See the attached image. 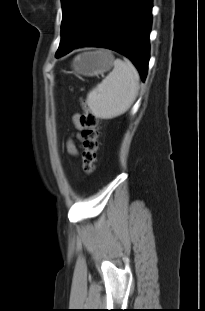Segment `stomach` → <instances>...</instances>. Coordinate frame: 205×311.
Here are the masks:
<instances>
[{
    "instance_id": "1",
    "label": "stomach",
    "mask_w": 205,
    "mask_h": 311,
    "mask_svg": "<svg viewBox=\"0 0 205 311\" xmlns=\"http://www.w3.org/2000/svg\"><path fill=\"white\" fill-rule=\"evenodd\" d=\"M114 57L106 51H95L75 57L73 72L83 76H97L108 71L113 65Z\"/></svg>"
}]
</instances>
